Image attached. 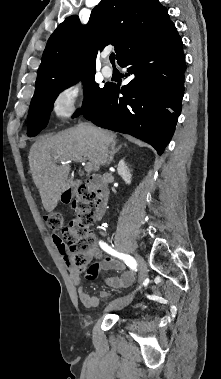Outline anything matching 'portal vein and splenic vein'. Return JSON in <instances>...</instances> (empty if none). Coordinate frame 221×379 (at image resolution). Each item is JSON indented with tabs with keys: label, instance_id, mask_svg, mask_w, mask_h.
I'll return each instance as SVG.
<instances>
[{
	"label": "portal vein and splenic vein",
	"instance_id": "obj_1",
	"mask_svg": "<svg viewBox=\"0 0 221 379\" xmlns=\"http://www.w3.org/2000/svg\"><path fill=\"white\" fill-rule=\"evenodd\" d=\"M80 159L79 158H71V159H63V160H59L62 164H65V163H69L71 161H79ZM92 170V164L90 162L86 163L85 164V171L86 172H91Z\"/></svg>",
	"mask_w": 221,
	"mask_h": 379
}]
</instances>
